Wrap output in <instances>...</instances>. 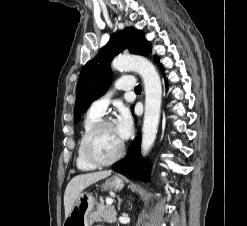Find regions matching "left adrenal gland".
I'll use <instances>...</instances> for the list:
<instances>
[{"instance_id":"a2214340","label":"left adrenal gland","mask_w":247,"mask_h":226,"mask_svg":"<svg viewBox=\"0 0 247 226\" xmlns=\"http://www.w3.org/2000/svg\"><path fill=\"white\" fill-rule=\"evenodd\" d=\"M121 202H122V199L118 196V211H120Z\"/></svg>"}]
</instances>
